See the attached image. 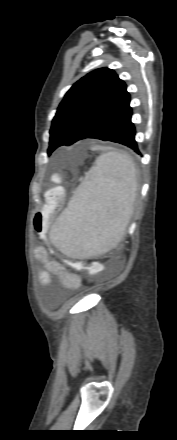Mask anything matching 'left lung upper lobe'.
I'll use <instances>...</instances> for the list:
<instances>
[{
    "label": "left lung upper lobe",
    "mask_w": 177,
    "mask_h": 440,
    "mask_svg": "<svg viewBox=\"0 0 177 440\" xmlns=\"http://www.w3.org/2000/svg\"><path fill=\"white\" fill-rule=\"evenodd\" d=\"M130 103L126 84L109 68L96 69L65 94L50 129L48 155L71 145Z\"/></svg>",
    "instance_id": "1"
}]
</instances>
